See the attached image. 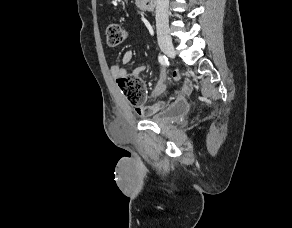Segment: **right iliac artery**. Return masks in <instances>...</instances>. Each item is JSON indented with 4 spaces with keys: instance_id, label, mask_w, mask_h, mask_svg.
Listing matches in <instances>:
<instances>
[{
    "instance_id": "right-iliac-artery-1",
    "label": "right iliac artery",
    "mask_w": 292,
    "mask_h": 228,
    "mask_svg": "<svg viewBox=\"0 0 292 228\" xmlns=\"http://www.w3.org/2000/svg\"><path fill=\"white\" fill-rule=\"evenodd\" d=\"M158 60H159L160 64L163 65V66L169 65L168 58L165 55H161L160 54L159 57H158Z\"/></svg>"
}]
</instances>
